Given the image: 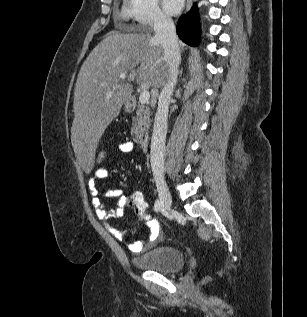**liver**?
Instances as JSON below:
<instances>
[{"label":"liver","instance_id":"1","mask_svg":"<svg viewBox=\"0 0 307 317\" xmlns=\"http://www.w3.org/2000/svg\"><path fill=\"white\" fill-rule=\"evenodd\" d=\"M167 68L163 48L150 31H112L92 50L77 77L71 128L84 175H91L101 136L132 94L130 82L160 88L167 81ZM121 73L129 74L127 81H120Z\"/></svg>","mask_w":307,"mask_h":317}]
</instances>
